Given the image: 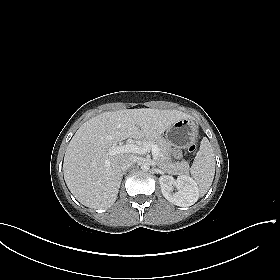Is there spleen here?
I'll use <instances>...</instances> for the list:
<instances>
[{
    "mask_svg": "<svg viewBox=\"0 0 280 280\" xmlns=\"http://www.w3.org/2000/svg\"><path fill=\"white\" fill-rule=\"evenodd\" d=\"M191 175L199 187L200 195H205L212 185L215 175V155L206 137L201 141L191 167Z\"/></svg>",
    "mask_w": 280,
    "mask_h": 280,
    "instance_id": "spleen-1",
    "label": "spleen"
}]
</instances>
